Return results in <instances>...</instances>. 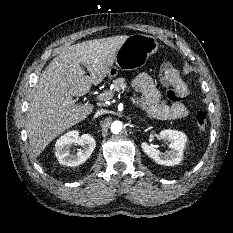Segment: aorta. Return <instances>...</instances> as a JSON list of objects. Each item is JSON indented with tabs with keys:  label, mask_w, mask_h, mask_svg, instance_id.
Masks as SVG:
<instances>
[{
	"label": "aorta",
	"mask_w": 233,
	"mask_h": 233,
	"mask_svg": "<svg viewBox=\"0 0 233 233\" xmlns=\"http://www.w3.org/2000/svg\"><path fill=\"white\" fill-rule=\"evenodd\" d=\"M122 122L121 121H114L111 124V132L114 134H118L122 130Z\"/></svg>",
	"instance_id": "1"
}]
</instances>
